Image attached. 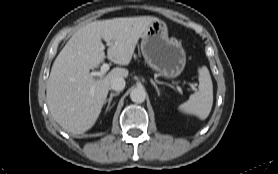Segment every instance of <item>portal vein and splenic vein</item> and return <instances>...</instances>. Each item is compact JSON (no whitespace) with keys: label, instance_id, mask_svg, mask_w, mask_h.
Segmentation results:
<instances>
[{"label":"portal vein and splenic vein","instance_id":"obj_1","mask_svg":"<svg viewBox=\"0 0 278 174\" xmlns=\"http://www.w3.org/2000/svg\"><path fill=\"white\" fill-rule=\"evenodd\" d=\"M109 70V64L107 63H104L102 66H101V69L100 71H93L90 73L91 76H98V77H103L104 74Z\"/></svg>","mask_w":278,"mask_h":174}]
</instances>
